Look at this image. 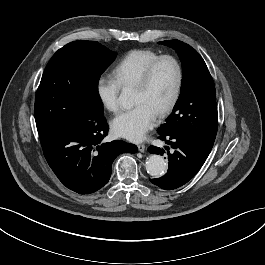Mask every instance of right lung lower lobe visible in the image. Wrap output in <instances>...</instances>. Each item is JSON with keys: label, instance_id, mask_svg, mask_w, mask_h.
<instances>
[{"label": "right lung lower lobe", "instance_id": "98d812e1", "mask_svg": "<svg viewBox=\"0 0 265 265\" xmlns=\"http://www.w3.org/2000/svg\"><path fill=\"white\" fill-rule=\"evenodd\" d=\"M105 117L86 116L80 122L41 138L45 158L70 190L90 194L110 179L114 159L121 153H136L137 147L121 140L102 143L108 134Z\"/></svg>", "mask_w": 265, "mask_h": 265}]
</instances>
